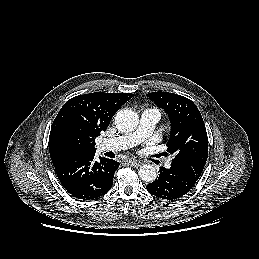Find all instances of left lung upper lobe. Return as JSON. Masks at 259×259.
<instances>
[{"mask_svg":"<svg viewBox=\"0 0 259 259\" xmlns=\"http://www.w3.org/2000/svg\"><path fill=\"white\" fill-rule=\"evenodd\" d=\"M147 96L170 118L167 151L175 156L171 164L198 179L208 157V137L197 106L190 99L169 92H152Z\"/></svg>","mask_w":259,"mask_h":259,"instance_id":"5c2ea615","label":"left lung upper lobe"}]
</instances>
